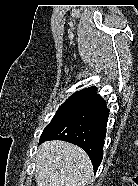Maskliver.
Instances as JSON below:
<instances>
[{
    "label": "liver",
    "instance_id": "6515ba94",
    "mask_svg": "<svg viewBox=\"0 0 138 186\" xmlns=\"http://www.w3.org/2000/svg\"><path fill=\"white\" fill-rule=\"evenodd\" d=\"M92 164L83 149L64 141H48L36 155L37 186H86L92 177Z\"/></svg>",
    "mask_w": 138,
    "mask_h": 186
}]
</instances>
